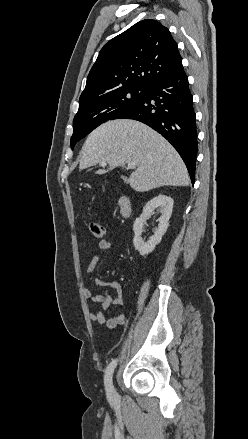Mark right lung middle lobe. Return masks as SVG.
<instances>
[{"label":"right lung middle lobe","mask_w":248,"mask_h":439,"mask_svg":"<svg viewBox=\"0 0 248 439\" xmlns=\"http://www.w3.org/2000/svg\"><path fill=\"white\" fill-rule=\"evenodd\" d=\"M142 87H124L79 105L73 121L71 147L102 123L118 119L144 95Z\"/></svg>","instance_id":"dd1d6c3e"}]
</instances>
